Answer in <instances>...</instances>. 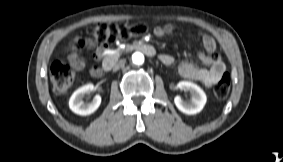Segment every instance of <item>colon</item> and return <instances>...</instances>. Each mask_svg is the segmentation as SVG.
Listing matches in <instances>:
<instances>
[{"mask_svg":"<svg viewBox=\"0 0 283 162\" xmlns=\"http://www.w3.org/2000/svg\"><path fill=\"white\" fill-rule=\"evenodd\" d=\"M147 31L143 24H107L100 23L88 29V35L101 43H110L117 39H128L139 36ZM75 78V69L66 62L57 61L50 69V80L53 90L56 93L67 91ZM231 79L228 74H224L214 88L217 98L224 99L230 91Z\"/></svg>","mask_w":283,"mask_h":162,"instance_id":"5ec220e1","label":"colon"}]
</instances>
